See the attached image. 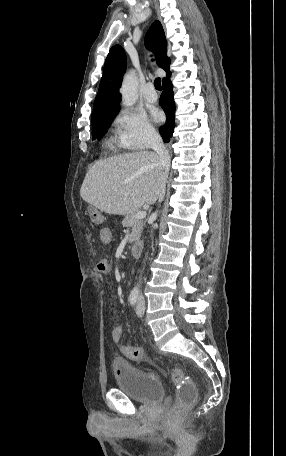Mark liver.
Listing matches in <instances>:
<instances>
[{"label":"liver","mask_w":286,"mask_h":456,"mask_svg":"<svg viewBox=\"0 0 286 456\" xmlns=\"http://www.w3.org/2000/svg\"><path fill=\"white\" fill-rule=\"evenodd\" d=\"M166 174L159 155L139 151L96 161L86 173L80 196L100 211L126 215L153 205Z\"/></svg>","instance_id":"liver-1"}]
</instances>
